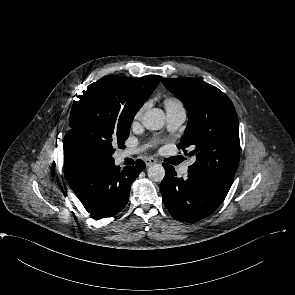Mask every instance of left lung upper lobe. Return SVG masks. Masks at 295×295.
<instances>
[{
  "instance_id": "obj_1",
  "label": "left lung upper lobe",
  "mask_w": 295,
  "mask_h": 295,
  "mask_svg": "<svg viewBox=\"0 0 295 295\" xmlns=\"http://www.w3.org/2000/svg\"><path fill=\"white\" fill-rule=\"evenodd\" d=\"M163 84L185 105L189 121L177 145L193 151L188 173L227 195L239 164L238 117L228 96L196 78H164Z\"/></svg>"
}]
</instances>
